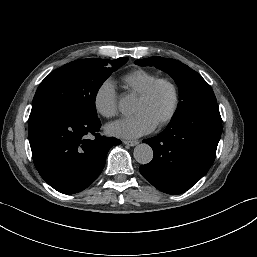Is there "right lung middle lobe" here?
I'll return each mask as SVG.
<instances>
[{
  "instance_id": "dd1d6c3e",
  "label": "right lung middle lobe",
  "mask_w": 257,
  "mask_h": 257,
  "mask_svg": "<svg viewBox=\"0 0 257 257\" xmlns=\"http://www.w3.org/2000/svg\"><path fill=\"white\" fill-rule=\"evenodd\" d=\"M82 59L70 62L51 72L39 85L31 112H59L75 117L95 118V99L103 82L127 62Z\"/></svg>"
}]
</instances>
